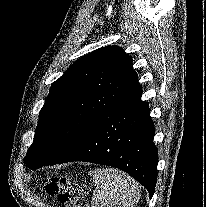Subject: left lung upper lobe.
Returning <instances> with one entry per match:
<instances>
[{"instance_id":"5c2ea615","label":"left lung upper lobe","mask_w":206,"mask_h":207,"mask_svg":"<svg viewBox=\"0 0 206 207\" xmlns=\"http://www.w3.org/2000/svg\"><path fill=\"white\" fill-rule=\"evenodd\" d=\"M132 58L106 46L79 58L51 86L39 112L29 168L61 161L85 141L104 112L138 79Z\"/></svg>"}]
</instances>
